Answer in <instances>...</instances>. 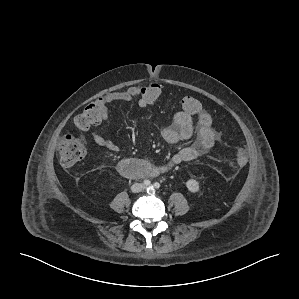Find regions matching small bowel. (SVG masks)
<instances>
[{"label":"small bowel","instance_id":"1","mask_svg":"<svg viewBox=\"0 0 299 299\" xmlns=\"http://www.w3.org/2000/svg\"><path fill=\"white\" fill-rule=\"evenodd\" d=\"M137 99L138 106L145 108L148 103L139 96L138 87H129L123 91H114L105 94L99 99L103 105V115L99 123L102 124L108 119V106L116 102H130ZM192 115L184 111L177 112L169 126L161 130L162 138L171 144L189 140L195 136V142L191 146H187L175 153L167 162L160 165H153L144 162L146 171L143 176H157L168 171L173 166L182 162H189L197 159L199 156L208 152L219 139V135L212 128L211 116L201 109L198 113ZM94 142L112 152H118V145L110 138L104 136L99 129L92 132Z\"/></svg>","mask_w":299,"mask_h":299}]
</instances>
